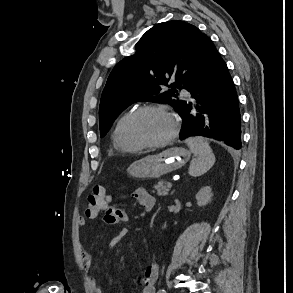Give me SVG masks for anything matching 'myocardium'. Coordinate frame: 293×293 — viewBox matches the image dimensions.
<instances>
[{
	"mask_svg": "<svg viewBox=\"0 0 293 293\" xmlns=\"http://www.w3.org/2000/svg\"><path fill=\"white\" fill-rule=\"evenodd\" d=\"M149 111H160L165 113L171 120L172 122V131L171 133L164 139L157 141V142H147L142 139H140L136 133H135V122L137 118ZM179 132V121L176 117V115L166 106L161 105V104H147L143 105L134 111H132L127 119L126 125H125V134L127 140L135 144L141 148H159V147H164L171 143L177 136Z\"/></svg>",
	"mask_w": 293,
	"mask_h": 293,
	"instance_id": "obj_1",
	"label": "myocardium"
}]
</instances>
